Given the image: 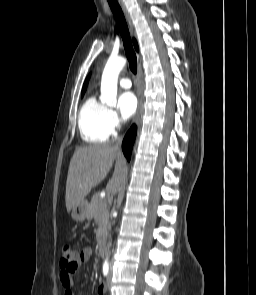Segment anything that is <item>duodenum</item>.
I'll return each mask as SVG.
<instances>
[{
  "label": "duodenum",
  "mask_w": 256,
  "mask_h": 295,
  "mask_svg": "<svg viewBox=\"0 0 256 295\" xmlns=\"http://www.w3.org/2000/svg\"><path fill=\"white\" fill-rule=\"evenodd\" d=\"M99 253L103 256L105 254V241L104 238L101 237L97 244Z\"/></svg>",
  "instance_id": "1"
}]
</instances>
